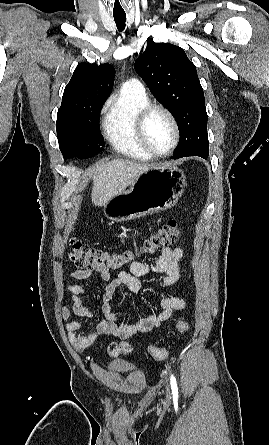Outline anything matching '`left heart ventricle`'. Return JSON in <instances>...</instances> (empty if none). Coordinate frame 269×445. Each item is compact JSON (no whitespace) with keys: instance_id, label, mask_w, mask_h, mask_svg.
I'll return each mask as SVG.
<instances>
[{"instance_id":"1","label":"left heart ventricle","mask_w":269,"mask_h":445,"mask_svg":"<svg viewBox=\"0 0 269 445\" xmlns=\"http://www.w3.org/2000/svg\"><path fill=\"white\" fill-rule=\"evenodd\" d=\"M145 134L150 146L158 153L166 152L172 145L174 130L169 118L160 111L153 112L145 126Z\"/></svg>"}]
</instances>
